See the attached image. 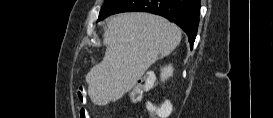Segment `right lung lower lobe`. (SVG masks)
<instances>
[{"label":"right lung lower lobe","mask_w":273,"mask_h":118,"mask_svg":"<svg viewBox=\"0 0 273 118\" xmlns=\"http://www.w3.org/2000/svg\"><path fill=\"white\" fill-rule=\"evenodd\" d=\"M135 11L157 14L174 22L187 34L193 47L199 24L200 0H122L110 15Z\"/></svg>","instance_id":"obj_1"}]
</instances>
